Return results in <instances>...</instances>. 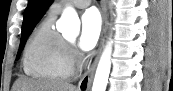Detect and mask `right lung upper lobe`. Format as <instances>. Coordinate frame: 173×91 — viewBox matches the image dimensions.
Here are the masks:
<instances>
[{
  "instance_id": "right-lung-upper-lobe-1",
  "label": "right lung upper lobe",
  "mask_w": 173,
  "mask_h": 91,
  "mask_svg": "<svg viewBox=\"0 0 173 91\" xmlns=\"http://www.w3.org/2000/svg\"><path fill=\"white\" fill-rule=\"evenodd\" d=\"M53 0H37L35 2V5L33 9L30 12L24 35L22 38L29 32H32L35 25L38 23V21L41 19V17L44 15L45 11L48 9V7L51 5Z\"/></svg>"
}]
</instances>
